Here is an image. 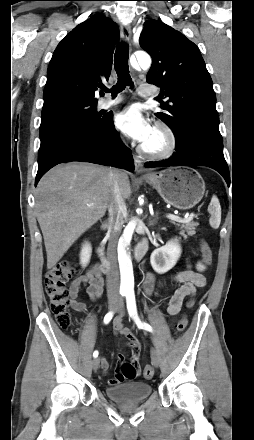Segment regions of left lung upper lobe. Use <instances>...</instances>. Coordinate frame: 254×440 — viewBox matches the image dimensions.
Listing matches in <instances>:
<instances>
[{
	"label": "left lung upper lobe",
	"mask_w": 254,
	"mask_h": 440,
	"mask_svg": "<svg viewBox=\"0 0 254 440\" xmlns=\"http://www.w3.org/2000/svg\"><path fill=\"white\" fill-rule=\"evenodd\" d=\"M140 46L152 57L147 82L161 88L157 117L181 141L193 123L218 127L216 95L199 48L182 33L161 21L145 23Z\"/></svg>",
	"instance_id": "obj_1"
}]
</instances>
